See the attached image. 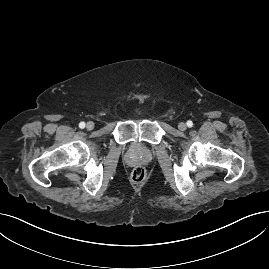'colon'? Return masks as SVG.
Segmentation results:
<instances>
[{"instance_id": "1", "label": "colon", "mask_w": 269, "mask_h": 269, "mask_svg": "<svg viewBox=\"0 0 269 269\" xmlns=\"http://www.w3.org/2000/svg\"><path fill=\"white\" fill-rule=\"evenodd\" d=\"M147 178V170L142 165H137L131 172V179L134 183H142Z\"/></svg>"}]
</instances>
